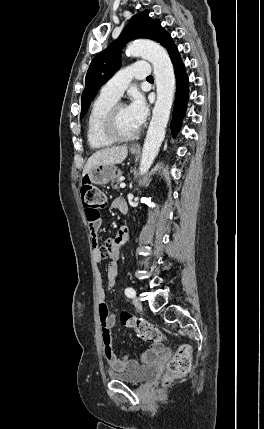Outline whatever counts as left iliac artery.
Segmentation results:
<instances>
[{"label":"left iliac artery","mask_w":264,"mask_h":429,"mask_svg":"<svg viewBox=\"0 0 264 429\" xmlns=\"http://www.w3.org/2000/svg\"><path fill=\"white\" fill-rule=\"evenodd\" d=\"M135 290L132 288V287H127L126 289H125V294L129 297V298H132L131 297V294L134 292Z\"/></svg>","instance_id":"left-iliac-artery-1"}]
</instances>
